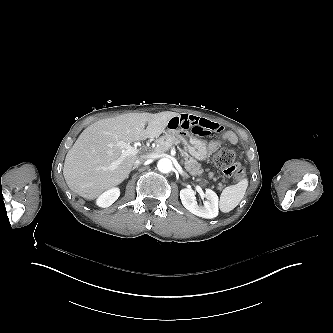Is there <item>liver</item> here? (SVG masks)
<instances>
[{
    "label": "liver",
    "mask_w": 333,
    "mask_h": 333,
    "mask_svg": "<svg viewBox=\"0 0 333 333\" xmlns=\"http://www.w3.org/2000/svg\"><path fill=\"white\" fill-rule=\"evenodd\" d=\"M178 116L172 111L127 113L89 125L65 157L63 176L69 189L87 200H96L120 185L142 157L128 155L122 159L124 149L114 145L116 139L131 143L158 138L169 121Z\"/></svg>",
    "instance_id": "1"
}]
</instances>
